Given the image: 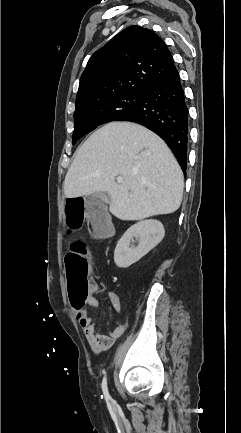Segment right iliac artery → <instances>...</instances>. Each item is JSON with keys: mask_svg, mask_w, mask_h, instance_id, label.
Wrapping results in <instances>:
<instances>
[{"mask_svg": "<svg viewBox=\"0 0 241 433\" xmlns=\"http://www.w3.org/2000/svg\"><path fill=\"white\" fill-rule=\"evenodd\" d=\"M102 391H103V394L105 396L106 401L110 400L111 397L109 395L108 388H107L106 373H105V376L103 377V380H102Z\"/></svg>", "mask_w": 241, "mask_h": 433, "instance_id": "1", "label": "right iliac artery"}]
</instances>
